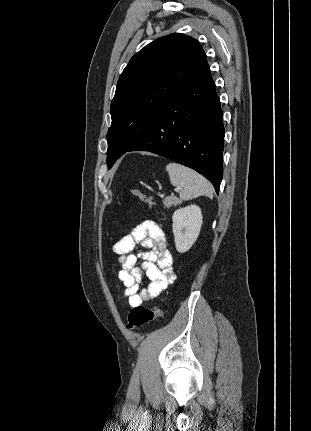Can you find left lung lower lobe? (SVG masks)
<instances>
[{"label":"left lung lower lobe","mask_w":311,"mask_h":431,"mask_svg":"<svg viewBox=\"0 0 311 431\" xmlns=\"http://www.w3.org/2000/svg\"><path fill=\"white\" fill-rule=\"evenodd\" d=\"M224 127L219 97L205 59L129 151H150L188 166L215 187L223 175Z\"/></svg>","instance_id":"obj_1"}]
</instances>
